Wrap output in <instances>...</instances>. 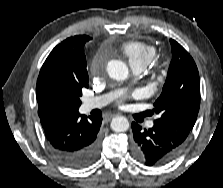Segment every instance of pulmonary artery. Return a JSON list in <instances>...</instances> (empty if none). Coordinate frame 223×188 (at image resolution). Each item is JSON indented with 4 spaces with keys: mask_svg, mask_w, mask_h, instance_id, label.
Here are the masks:
<instances>
[{
    "mask_svg": "<svg viewBox=\"0 0 223 188\" xmlns=\"http://www.w3.org/2000/svg\"><path fill=\"white\" fill-rule=\"evenodd\" d=\"M131 68L135 74H139L144 71V67L141 65H131ZM113 96H114L113 94H106V95L86 99L84 100V103H83L84 108L87 111H89L92 109L103 107L113 98ZM147 125L148 127H152L153 122L150 121Z\"/></svg>",
    "mask_w": 223,
    "mask_h": 188,
    "instance_id": "1",
    "label": "pulmonary artery"
}]
</instances>
